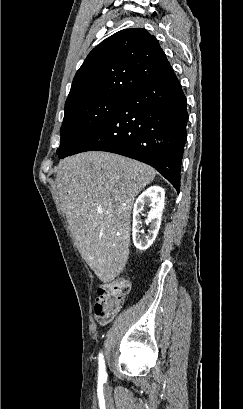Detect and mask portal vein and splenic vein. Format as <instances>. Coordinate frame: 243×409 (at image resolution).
I'll use <instances>...</instances> for the list:
<instances>
[{
	"label": "portal vein and splenic vein",
	"mask_w": 243,
	"mask_h": 409,
	"mask_svg": "<svg viewBox=\"0 0 243 409\" xmlns=\"http://www.w3.org/2000/svg\"><path fill=\"white\" fill-rule=\"evenodd\" d=\"M98 212H99V213H102L103 211H102V209H98Z\"/></svg>",
	"instance_id": "portal-vein-and-splenic-vein-1"
}]
</instances>
